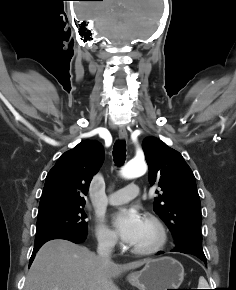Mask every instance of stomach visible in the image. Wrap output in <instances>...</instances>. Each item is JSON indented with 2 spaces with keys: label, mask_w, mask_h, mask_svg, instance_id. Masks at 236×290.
Returning <instances> with one entry per match:
<instances>
[{
  "label": "stomach",
  "mask_w": 236,
  "mask_h": 290,
  "mask_svg": "<svg viewBox=\"0 0 236 290\" xmlns=\"http://www.w3.org/2000/svg\"><path fill=\"white\" fill-rule=\"evenodd\" d=\"M129 283L139 290L178 289L184 280V267L168 256L148 260L144 268L127 277Z\"/></svg>",
  "instance_id": "obj_1"
}]
</instances>
